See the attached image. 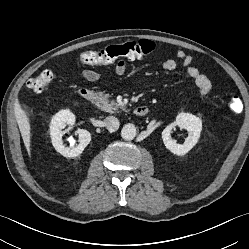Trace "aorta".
Listing matches in <instances>:
<instances>
[{"mask_svg": "<svg viewBox=\"0 0 249 249\" xmlns=\"http://www.w3.org/2000/svg\"><path fill=\"white\" fill-rule=\"evenodd\" d=\"M136 134V127L131 123L124 125L121 130L122 138L127 141L133 140L136 137Z\"/></svg>", "mask_w": 249, "mask_h": 249, "instance_id": "762f6f07", "label": "aorta"}]
</instances>
